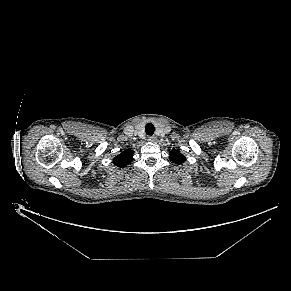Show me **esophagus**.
I'll list each match as a JSON object with an SVG mask.
<instances>
[{
    "mask_svg": "<svg viewBox=\"0 0 291 291\" xmlns=\"http://www.w3.org/2000/svg\"><path fill=\"white\" fill-rule=\"evenodd\" d=\"M157 138L155 136H149L148 141L149 142H156Z\"/></svg>",
    "mask_w": 291,
    "mask_h": 291,
    "instance_id": "obj_1",
    "label": "esophagus"
}]
</instances>
